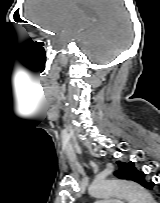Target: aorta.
<instances>
[{
  "label": "aorta",
  "mask_w": 160,
  "mask_h": 203,
  "mask_svg": "<svg viewBox=\"0 0 160 203\" xmlns=\"http://www.w3.org/2000/svg\"><path fill=\"white\" fill-rule=\"evenodd\" d=\"M89 193L95 197L119 196L129 203H156L145 188L131 181H96L89 187Z\"/></svg>",
  "instance_id": "obj_1"
}]
</instances>
